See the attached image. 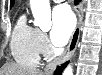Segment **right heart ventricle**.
I'll use <instances>...</instances> for the list:
<instances>
[{"instance_id": "right-heart-ventricle-1", "label": "right heart ventricle", "mask_w": 102, "mask_h": 75, "mask_svg": "<svg viewBox=\"0 0 102 75\" xmlns=\"http://www.w3.org/2000/svg\"><path fill=\"white\" fill-rule=\"evenodd\" d=\"M39 34L40 31L29 25L24 15L19 17L10 42L11 54L16 62L28 66H36L39 63Z\"/></svg>"}]
</instances>
